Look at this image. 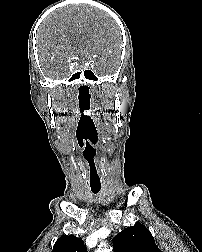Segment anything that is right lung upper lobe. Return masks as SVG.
Listing matches in <instances>:
<instances>
[{
	"label": "right lung upper lobe",
	"mask_w": 202,
	"mask_h": 252,
	"mask_svg": "<svg viewBox=\"0 0 202 252\" xmlns=\"http://www.w3.org/2000/svg\"><path fill=\"white\" fill-rule=\"evenodd\" d=\"M52 252H87V249L81 238L63 235L56 241Z\"/></svg>",
	"instance_id": "right-lung-upper-lobe-1"
}]
</instances>
